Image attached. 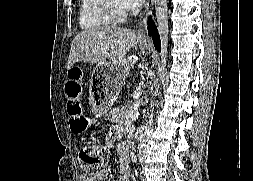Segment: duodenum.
Returning a JSON list of instances; mask_svg holds the SVG:
<instances>
[{
    "label": "duodenum",
    "mask_w": 253,
    "mask_h": 181,
    "mask_svg": "<svg viewBox=\"0 0 253 181\" xmlns=\"http://www.w3.org/2000/svg\"><path fill=\"white\" fill-rule=\"evenodd\" d=\"M144 132V129H140L139 131L136 132V137H139L142 133Z\"/></svg>",
    "instance_id": "410a0bca"
}]
</instances>
